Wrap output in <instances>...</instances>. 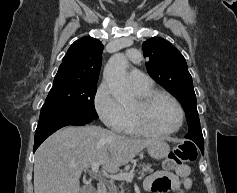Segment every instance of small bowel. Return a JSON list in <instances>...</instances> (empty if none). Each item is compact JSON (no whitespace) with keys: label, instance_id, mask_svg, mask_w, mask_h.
I'll list each match as a JSON object with an SVG mask.
<instances>
[{"label":"small bowel","instance_id":"1","mask_svg":"<svg viewBox=\"0 0 237 193\" xmlns=\"http://www.w3.org/2000/svg\"><path fill=\"white\" fill-rule=\"evenodd\" d=\"M191 167L182 165L174 172L157 171L144 181V188L152 193H190L193 187Z\"/></svg>","mask_w":237,"mask_h":193}]
</instances>
